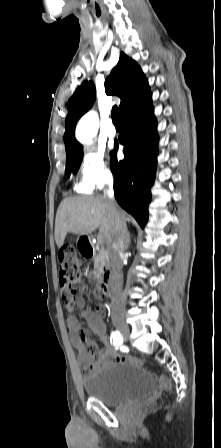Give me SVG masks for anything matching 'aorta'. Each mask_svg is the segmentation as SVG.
Segmentation results:
<instances>
[{"label":"aorta","instance_id":"1","mask_svg":"<svg viewBox=\"0 0 221 448\" xmlns=\"http://www.w3.org/2000/svg\"><path fill=\"white\" fill-rule=\"evenodd\" d=\"M97 129L98 116L95 112H89L79 121L76 127V138L83 144H91Z\"/></svg>","mask_w":221,"mask_h":448}]
</instances>
